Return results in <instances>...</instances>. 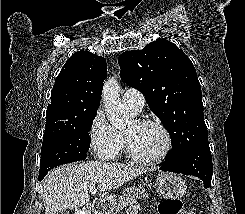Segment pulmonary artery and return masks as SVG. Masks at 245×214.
I'll return each mask as SVG.
<instances>
[{"instance_id":"1","label":"pulmonary artery","mask_w":245,"mask_h":214,"mask_svg":"<svg viewBox=\"0 0 245 214\" xmlns=\"http://www.w3.org/2000/svg\"><path fill=\"white\" fill-rule=\"evenodd\" d=\"M122 102L127 109H130L135 114L141 112L145 105V98L141 92L136 89H127L123 96Z\"/></svg>"}]
</instances>
